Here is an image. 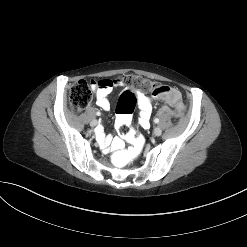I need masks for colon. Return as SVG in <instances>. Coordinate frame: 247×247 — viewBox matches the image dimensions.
I'll use <instances>...</instances> for the list:
<instances>
[{
	"label": "colon",
	"instance_id": "colon-1",
	"mask_svg": "<svg viewBox=\"0 0 247 247\" xmlns=\"http://www.w3.org/2000/svg\"><path fill=\"white\" fill-rule=\"evenodd\" d=\"M121 82L128 87L119 99L116 108L117 130L121 137L129 142L128 148L116 151L113 154V163L121 168L132 165L141 158L147 140L143 134L136 132L131 125V116L137 103V92H149L154 97L163 98L171 105L178 107L181 105V98L178 91L161 85L138 75H128L121 79ZM95 81L79 80L70 90V107L75 112L84 110L91 102L92 89ZM181 111V108H178Z\"/></svg>",
	"mask_w": 247,
	"mask_h": 247
}]
</instances>
